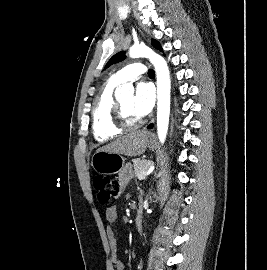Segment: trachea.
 <instances>
[{
  "instance_id": "trachea-1",
  "label": "trachea",
  "mask_w": 267,
  "mask_h": 270,
  "mask_svg": "<svg viewBox=\"0 0 267 270\" xmlns=\"http://www.w3.org/2000/svg\"><path fill=\"white\" fill-rule=\"evenodd\" d=\"M148 75H155L154 70H153V69H149V71H148Z\"/></svg>"
}]
</instances>
